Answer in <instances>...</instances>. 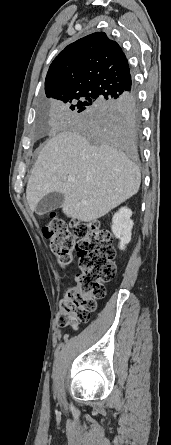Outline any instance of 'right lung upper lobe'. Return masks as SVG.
Returning <instances> with one entry per match:
<instances>
[{"mask_svg": "<svg viewBox=\"0 0 171 445\" xmlns=\"http://www.w3.org/2000/svg\"><path fill=\"white\" fill-rule=\"evenodd\" d=\"M86 91L115 99L134 93L126 56L118 43L104 32L90 34L68 45L54 59L46 76L48 98Z\"/></svg>", "mask_w": 171, "mask_h": 445, "instance_id": "right-lung-upper-lobe-1", "label": "right lung upper lobe"}]
</instances>
